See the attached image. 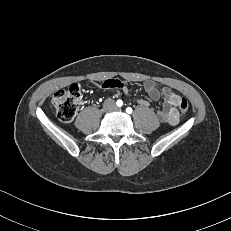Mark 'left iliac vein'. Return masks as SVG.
<instances>
[{"mask_svg":"<svg viewBox=\"0 0 231 231\" xmlns=\"http://www.w3.org/2000/svg\"><path fill=\"white\" fill-rule=\"evenodd\" d=\"M115 110H117V111H121V109H120V108H116Z\"/></svg>","mask_w":231,"mask_h":231,"instance_id":"1","label":"left iliac vein"}]
</instances>
